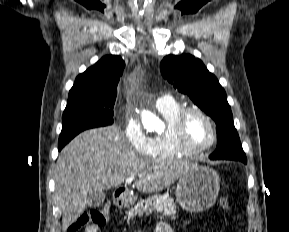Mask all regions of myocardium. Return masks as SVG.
Here are the masks:
<instances>
[{
  "label": "myocardium",
  "mask_w": 289,
  "mask_h": 232,
  "mask_svg": "<svg viewBox=\"0 0 289 232\" xmlns=\"http://www.w3.org/2000/svg\"><path fill=\"white\" fill-rule=\"evenodd\" d=\"M191 113H198L201 115L209 124L212 132V136L210 141L202 146H194L191 143L188 142L186 138V133H185V125H186V119L189 114ZM173 134L178 142V144L186 149L187 151L191 153H201L203 151L208 150L211 148L214 143L217 140V129L214 120L212 117L204 111L202 108L197 107V106H187L183 107L177 114L174 122H173Z\"/></svg>",
  "instance_id": "f54148a6"
}]
</instances>
